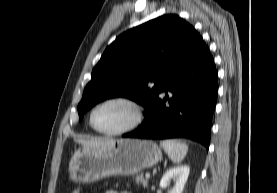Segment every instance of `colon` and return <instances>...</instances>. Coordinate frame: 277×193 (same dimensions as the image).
Segmentation results:
<instances>
[{"mask_svg": "<svg viewBox=\"0 0 277 193\" xmlns=\"http://www.w3.org/2000/svg\"><path fill=\"white\" fill-rule=\"evenodd\" d=\"M71 193H81L79 189L73 190Z\"/></svg>", "mask_w": 277, "mask_h": 193, "instance_id": "obj_1", "label": "colon"}]
</instances>
